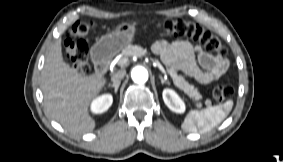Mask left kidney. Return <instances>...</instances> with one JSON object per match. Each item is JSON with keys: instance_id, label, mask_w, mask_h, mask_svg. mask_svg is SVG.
I'll list each match as a JSON object with an SVG mask.
<instances>
[{"instance_id": "left-kidney-1", "label": "left kidney", "mask_w": 283, "mask_h": 162, "mask_svg": "<svg viewBox=\"0 0 283 162\" xmlns=\"http://www.w3.org/2000/svg\"><path fill=\"white\" fill-rule=\"evenodd\" d=\"M163 100L167 107L176 113H184L185 111V104L181 100V98L177 95L175 91L172 89H164L163 93Z\"/></svg>"}]
</instances>
